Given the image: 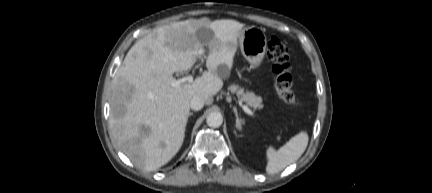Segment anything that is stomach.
I'll list each match as a JSON object with an SVG mask.
<instances>
[{"mask_svg": "<svg viewBox=\"0 0 432 193\" xmlns=\"http://www.w3.org/2000/svg\"><path fill=\"white\" fill-rule=\"evenodd\" d=\"M238 42L244 58L252 67H258L267 48V38L264 31L255 26H248L240 31Z\"/></svg>", "mask_w": 432, "mask_h": 193, "instance_id": "1", "label": "stomach"}]
</instances>
